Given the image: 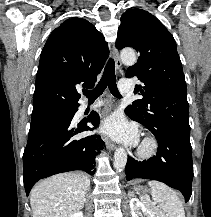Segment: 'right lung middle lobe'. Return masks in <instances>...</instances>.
<instances>
[{"label": "right lung middle lobe", "mask_w": 211, "mask_h": 217, "mask_svg": "<svg viewBox=\"0 0 211 217\" xmlns=\"http://www.w3.org/2000/svg\"><path fill=\"white\" fill-rule=\"evenodd\" d=\"M72 113H73V110L53 112V113L47 114L35 120H47V119H54V118H70L72 116ZM31 121H34V120H31Z\"/></svg>", "instance_id": "1"}]
</instances>
